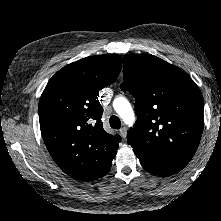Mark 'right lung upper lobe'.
<instances>
[{"instance_id": "cb5924a9", "label": "right lung upper lobe", "mask_w": 221, "mask_h": 221, "mask_svg": "<svg viewBox=\"0 0 221 221\" xmlns=\"http://www.w3.org/2000/svg\"><path fill=\"white\" fill-rule=\"evenodd\" d=\"M121 66L118 55L83 58L59 70L40 98L45 145L56 164L76 180L101 178L111 168L121 138L104 131L98 96L115 82Z\"/></svg>"}]
</instances>
